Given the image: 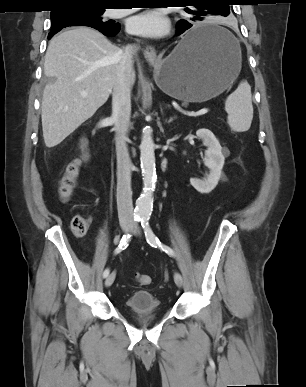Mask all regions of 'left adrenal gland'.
<instances>
[{
	"label": "left adrenal gland",
	"instance_id": "1",
	"mask_svg": "<svg viewBox=\"0 0 306 387\" xmlns=\"http://www.w3.org/2000/svg\"><path fill=\"white\" fill-rule=\"evenodd\" d=\"M177 117L176 116H172L170 117L168 120H165L166 123L170 124L171 122H173Z\"/></svg>",
	"mask_w": 306,
	"mask_h": 387
}]
</instances>
